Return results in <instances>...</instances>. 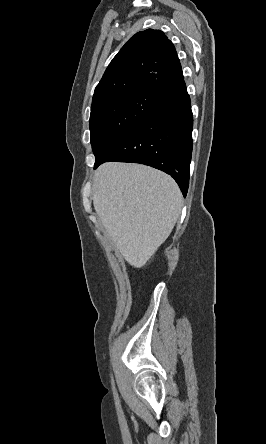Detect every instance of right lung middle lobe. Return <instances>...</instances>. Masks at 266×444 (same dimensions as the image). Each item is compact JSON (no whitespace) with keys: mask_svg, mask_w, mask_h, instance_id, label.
<instances>
[{"mask_svg":"<svg viewBox=\"0 0 266 444\" xmlns=\"http://www.w3.org/2000/svg\"><path fill=\"white\" fill-rule=\"evenodd\" d=\"M162 103L153 94L130 92L92 107L89 126L95 165Z\"/></svg>","mask_w":266,"mask_h":444,"instance_id":"1","label":"right lung middle lobe"}]
</instances>
